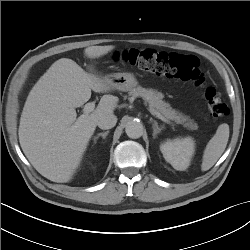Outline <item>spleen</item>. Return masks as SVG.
<instances>
[{
	"mask_svg": "<svg viewBox=\"0 0 250 250\" xmlns=\"http://www.w3.org/2000/svg\"><path fill=\"white\" fill-rule=\"evenodd\" d=\"M229 139V125L223 123L218 126L215 135L207 143L203 153L201 170H209L221 157Z\"/></svg>",
	"mask_w": 250,
	"mask_h": 250,
	"instance_id": "3e777b00",
	"label": "spleen"
}]
</instances>
